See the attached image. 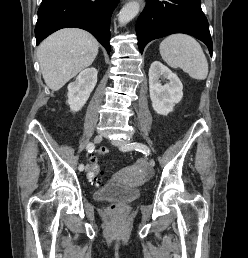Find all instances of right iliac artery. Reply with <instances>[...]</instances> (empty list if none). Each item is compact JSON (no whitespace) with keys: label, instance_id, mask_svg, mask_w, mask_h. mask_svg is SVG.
I'll list each match as a JSON object with an SVG mask.
<instances>
[{"label":"right iliac artery","instance_id":"obj_1","mask_svg":"<svg viewBox=\"0 0 248 258\" xmlns=\"http://www.w3.org/2000/svg\"><path fill=\"white\" fill-rule=\"evenodd\" d=\"M94 144L93 143H88V145H87V147H86V149H87V151L89 152V153H92L93 151H94ZM78 169L80 170V171H83L84 170V165L83 164H80L79 165V167H78Z\"/></svg>","mask_w":248,"mask_h":258}]
</instances>
